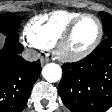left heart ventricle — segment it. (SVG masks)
<instances>
[{"instance_id": "obj_1", "label": "left heart ventricle", "mask_w": 112, "mask_h": 112, "mask_svg": "<svg viewBox=\"0 0 112 112\" xmlns=\"http://www.w3.org/2000/svg\"><path fill=\"white\" fill-rule=\"evenodd\" d=\"M98 33V24L92 17L83 18L74 28L70 38L64 46L68 53L85 50L94 41Z\"/></svg>"}]
</instances>
